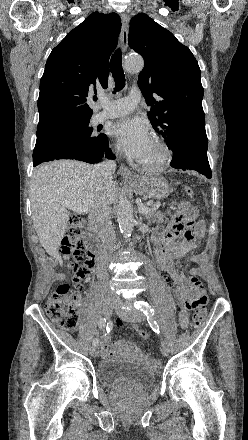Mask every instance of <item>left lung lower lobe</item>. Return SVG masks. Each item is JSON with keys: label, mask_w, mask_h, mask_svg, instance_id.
<instances>
[{"label": "left lung lower lobe", "mask_w": 248, "mask_h": 440, "mask_svg": "<svg viewBox=\"0 0 248 440\" xmlns=\"http://www.w3.org/2000/svg\"><path fill=\"white\" fill-rule=\"evenodd\" d=\"M173 153L174 158L171 161V166L173 168L194 170L205 175L209 179L212 177L206 150L180 148Z\"/></svg>", "instance_id": "obj_1"}]
</instances>
